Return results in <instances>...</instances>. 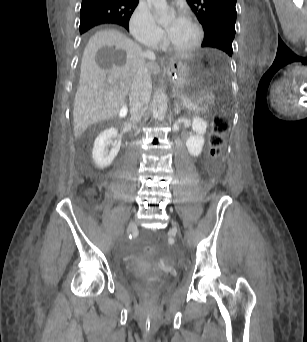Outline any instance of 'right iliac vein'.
I'll use <instances>...</instances> for the list:
<instances>
[{
  "label": "right iliac vein",
  "mask_w": 307,
  "mask_h": 342,
  "mask_svg": "<svg viewBox=\"0 0 307 342\" xmlns=\"http://www.w3.org/2000/svg\"><path fill=\"white\" fill-rule=\"evenodd\" d=\"M136 227H137V224H136L135 220L132 219V220L129 222L127 234L129 235V234L131 233V231H132L133 229H135Z\"/></svg>",
  "instance_id": "right-iliac-vein-1"
}]
</instances>
